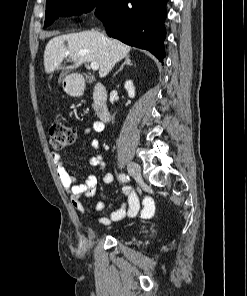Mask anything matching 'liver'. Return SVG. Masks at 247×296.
Returning <instances> with one entry per match:
<instances>
[{"label":"liver","instance_id":"liver-1","mask_svg":"<svg viewBox=\"0 0 247 296\" xmlns=\"http://www.w3.org/2000/svg\"><path fill=\"white\" fill-rule=\"evenodd\" d=\"M130 49V46L108 38L97 30L60 35L49 40L45 47L44 69L46 73H52L73 68L62 65L64 58L69 56L77 67L86 62H97L99 76L104 78L117 62L127 56Z\"/></svg>","mask_w":247,"mask_h":296}]
</instances>
